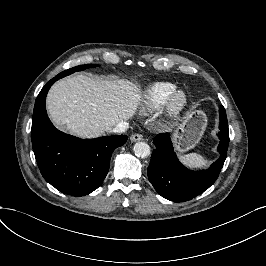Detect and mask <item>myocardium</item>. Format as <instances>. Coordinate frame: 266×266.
I'll return each instance as SVG.
<instances>
[{"mask_svg":"<svg viewBox=\"0 0 266 266\" xmlns=\"http://www.w3.org/2000/svg\"><path fill=\"white\" fill-rule=\"evenodd\" d=\"M190 98L183 89L176 90L166 101L161 111L163 122L171 127L179 124L190 109Z\"/></svg>","mask_w":266,"mask_h":266,"instance_id":"myocardium-1","label":"myocardium"}]
</instances>
